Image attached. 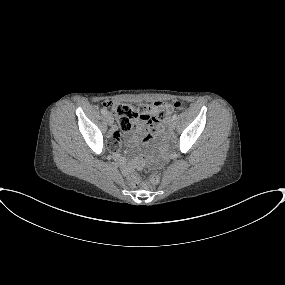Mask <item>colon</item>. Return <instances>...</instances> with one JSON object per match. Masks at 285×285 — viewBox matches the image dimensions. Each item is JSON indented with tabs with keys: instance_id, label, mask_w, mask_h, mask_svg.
Segmentation results:
<instances>
[{
	"instance_id": "5ec220e1",
	"label": "colon",
	"mask_w": 285,
	"mask_h": 285,
	"mask_svg": "<svg viewBox=\"0 0 285 285\" xmlns=\"http://www.w3.org/2000/svg\"><path fill=\"white\" fill-rule=\"evenodd\" d=\"M106 109L117 119L118 128L123 132L132 130L136 121H163L173 111V108H180L181 103L171 105L160 102L154 105L141 104L133 106L128 103L106 102ZM150 182L156 184L160 181L159 174H153Z\"/></svg>"
}]
</instances>
